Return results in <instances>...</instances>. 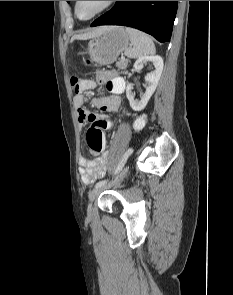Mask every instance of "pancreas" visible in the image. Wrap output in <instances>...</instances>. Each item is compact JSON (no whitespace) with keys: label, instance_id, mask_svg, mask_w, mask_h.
<instances>
[{"label":"pancreas","instance_id":"1","mask_svg":"<svg viewBox=\"0 0 233 295\" xmlns=\"http://www.w3.org/2000/svg\"><path fill=\"white\" fill-rule=\"evenodd\" d=\"M128 65V60L124 59V60H120L116 63V67L118 68V70H125L127 68Z\"/></svg>","mask_w":233,"mask_h":295}]
</instances>
